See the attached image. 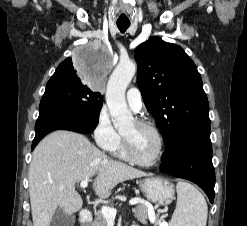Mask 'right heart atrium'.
Segmentation results:
<instances>
[{
  "label": "right heart atrium",
  "mask_w": 247,
  "mask_h": 226,
  "mask_svg": "<svg viewBox=\"0 0 247 226\" xmlns=\"http://www.w3.org/2000/svg\"><path fill=\"white\" fill-rule=\"evenodd\" d=\"M96 144L103 150L110 151L120 139L119 133L113 127L107 107L100 108L93 130Z\"/></svg>",
  "instance_id": "obj_1"
}]
</instances>
